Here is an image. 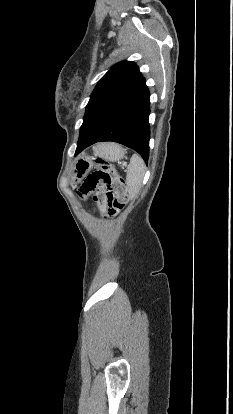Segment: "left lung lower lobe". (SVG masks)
Listing matches in <instances>:
<instances>
[{
	"mask_svg": "<svg viewBox=\"0 0 233 414\" xmlns=\"http://www.w3.org/2000/svg\"><path fill=\"white\" fill-rule=\"evenodd\" d=\"M149 91L141 78L124 90L105 96L86 107L76 154L101 141H114L149 157Z\"/></svg>",
	"mask_w": 233,
	"mask_h": 414,
	"instance_id": "0a47b994",
	"label": "left lung lower lobe"
}]
</instances>
